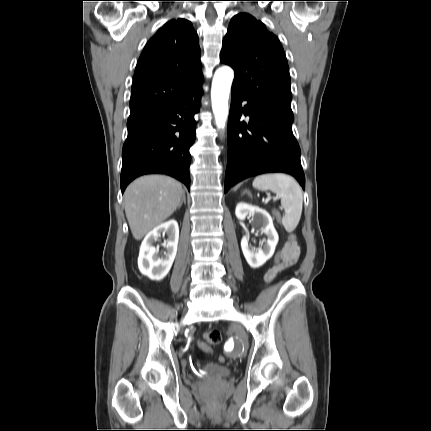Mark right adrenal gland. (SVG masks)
Returning a JSON list of instances; mask_svg holds the SVG:
<instances>
[{
	"mask_svg": "<svg viewBox=\"0 0 431 431\" xmlns=\"http://www.w3.org/2000/svg\"><path fill=\"white\" fill-rule=\"evenodd\" d=\"M186 204V196H185V193H183V195H182V200H181V202H180V204H179V208L182 206V204Z\"/></svg>",
	"mask_w": 431,
	"mask_h": 431,
	"instance_id": "right-adrenal-gland-1",
	"label": "right adrenal gland"
}]
</instances>
